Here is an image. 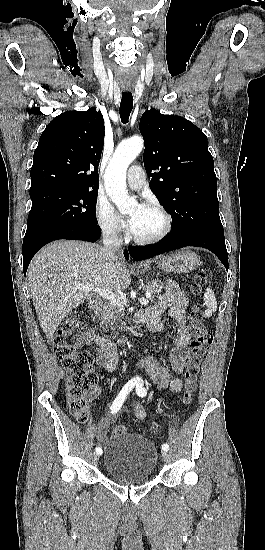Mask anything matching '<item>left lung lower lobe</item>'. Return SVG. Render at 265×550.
I'll return each instance as SVG.
<instances>
[{
    "label": "left lung lower lobe",
    "instance_id": "1",
    "mask_svg": "<svg viewBox=\"0 0 265 550\" xmlns=\"http://www.w3.org/2000/svg\"><path fill=\"white\" fill-rule=\"evenodd\" d=\"M185 246L203 247L212 251L228 271V254L225 240L207 233L185 232L178 235H167L164 240L158 244L130 246L128 251L134 260L139 261Z\"/></svg>",
    "mask_w": 265,
    "mask_h": 550
}]
</instances>
